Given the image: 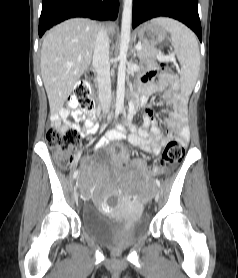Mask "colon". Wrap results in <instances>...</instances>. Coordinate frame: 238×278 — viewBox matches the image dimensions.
<instances>
[{"label":"colon","instance_id":"obj_1","mask_svg":"<svg viewBox=\"0 0 238 278\" xmlns=\"http://www.w3.org/2000/svg\"><path fill=\"white\" fill-rule=\"evenodd\" d=\"M163 80L170 79L173 76L172 70L167 64L161 65V76ZM65 109L80 113L89 114L94 110V103L90 97V89L86 81H80L76 84L73 93L66 101ZM46 139L50 146L54 159L60 167H67L71 164L73 156L79 146V133L74 128L64 130L50 128L46 133ZM112 157L120 160L128 154L126 148L121 144H113L110 149ZM185 155L184 146L178 141L171 140L166 145L158 169L167 171L183 159Z\"/></svg>","mask_w":238,"mask_h":278}]
</instances>
